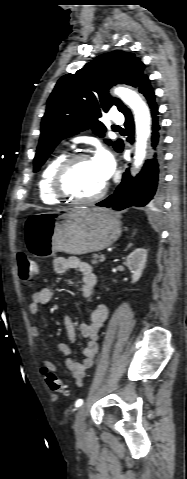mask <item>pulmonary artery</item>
<instances>
[{"label":"pulmonary artery","mask_w":187,"mask_h":479,"mask_svg":"<svg viewBox=\"0 0 187 479\" xmlns=\"http://www.w3.org/2000/svg\"><path fill=\"white\" fill-rule=\"evenodd\" d=\"M111 123L115 124L116 127H119L124 122V117L121 113L113 111L110 117Z\"/></svg>","instance_id":"obj_1"}]
</instances>
